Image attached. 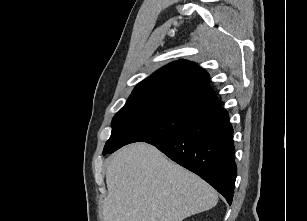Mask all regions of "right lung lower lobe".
<instances>
[{
  "label": "right lung lower lobe",
  "mask_w": 307,
  "mask_h": 221,
  "mask_svg": "<svg viewBox=\"0 0 307 221\" xmlns=\"http://www.w3.org/2000/svg\"><path fill=\"white\" fill-rule=\"evenodd\" d=\"M147 143L199 175L231 204L237 167L233 128L227 111L221 105L209 110L188 127Z\"/></svg>",
  "instance_id": "98d812e1"
}]
</instances>
